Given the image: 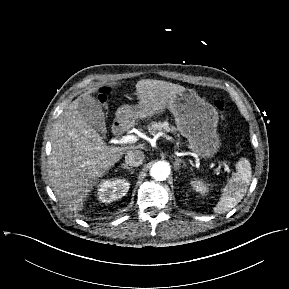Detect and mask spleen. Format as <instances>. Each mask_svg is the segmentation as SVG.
I'll return each mask as SVG.
<instances>
[{"label": "spleen", "mask_w": 289, "mask_h": 289, "mask_svg": "<svg viewBox=\"0 0 289 289\" xmlns=\"http://www.w3.org/2000/svg\"><path fill=\"white\" fill-rule=\"evenodd\" d=\"M252 178L250 162L241 158L236 164V173L222 189L219 202L214 207V212L222 214L234 208L245 196Z\"/></svg>", "instance_id": "1"}]
</instances>
